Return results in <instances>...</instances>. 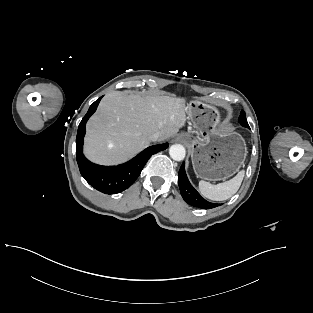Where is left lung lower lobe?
Segmentation results:
<instances>
[{"label": "left lung lower lobe", "instance_id": "left-lung-lower-lobe-1", "mask_svg": "<svg viewBox=\"0 0 313 313\" xmlns=\"http://www.w3.org/2000/svg\"><path fill=\"white\" fill-rule=\"evenodd\" d=\"M178 185L183 199L191 206L202 209H211L220 205L208 202L194 189L186 176L184 163L178 173Z\"/></svg>", "mask_w": 313, "mask_h": 313}]
</instances>
